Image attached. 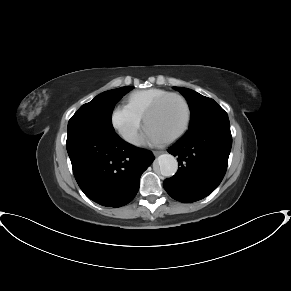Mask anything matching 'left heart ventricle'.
Wrapping results in <instances>:
<instances>
[{"instance_id": "obj_1", "label": "left heart ventricle", "mask_w": 291, "mask_h": 291, "mask_svg": "<svg viewBox=\"0 0 291 291\" xmlns=\"http://www.w3.org/2000/svg\"><path fill=\"white\" fill-rule=\"evenodd\" d=\"M184 119L185 109L182 102L175 97H171L150 116L147 126L167 138L182 126Z\"/></svg>"}]
</instances>
